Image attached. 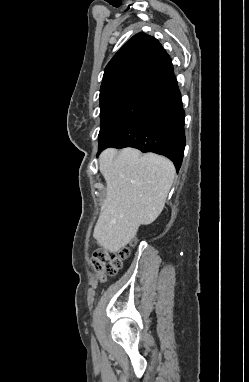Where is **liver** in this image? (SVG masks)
<instances>
[{"mask_svg":"<svg viewBox=\"0 0 249 382\" xmlns=\"http://www.w3.org/2000/svg\"><path fill=\"white\" fill-rule=\"evenodd\" d=\"M99 168L107 194L93 236L104 249L115 253L134 239L140 225H149L160 215L175 167L154 153L109 148L101 153Z\"/></svg>","mask_w":249,"mask_h":382,"instance_id":"1","label":"liver"}]
</instances>
